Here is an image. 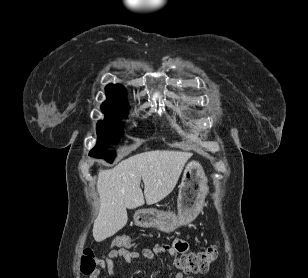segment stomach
Masks as SVG:
<instances>
[{
	"label": "stomach",
	"instance_id": "obj_1",
	"mask_svg": "<svg viewBox=\"0 0 308 278\" xmlns=\"http://www.w3.org/2000/svg\"><path fill=\"white\" fill-rule=\"evenodd\" d=\"M204 169L197 161H190L183 172L177 199V214L157 209L138 210L134 215L140 227H153L169 233L191 223L200 213L208 192Z\"/></svg>",
	"mask_w": 308,
	"mask_h": 278
}]
</instances>
